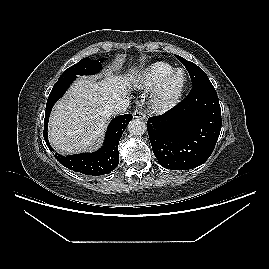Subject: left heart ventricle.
<instances>
[{"mask_svg": "<svg viewBox=\"0 0 269 269\" xmlns=\"http://www.w3.org/2000/svg\"><path fill=\"white\" fill-rule=\"evenodd\" d=\"M182 82V75H178L172 82L171 89L177 88Z\"/></svg>", "mask_w": 269, "mask_h": 269, "instance_id": "1", "label": "left heart ventricle"}]
</instances>
